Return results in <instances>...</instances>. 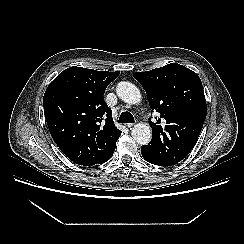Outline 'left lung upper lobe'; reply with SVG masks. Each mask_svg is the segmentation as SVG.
Here are the masks:
<instances>
[{
    "label": "left lung upper lobe",
    "instance_id": "5c2ea615",
    "mask_svg": "<svg viewBox=\"0 0 244 244\" xmlns=\"http://www.w3.org/2000/svg\"><path fill=\"white\" fill-rule=\"evenodd\" d=\"M134 78L146 90L149 105L165 120L160 125L149 121L152 139L146 149L152 163L171 166L183 160L192 150L203 127L207 105L199 76L177 63L146 72H135Z\"/></svg>",
    "mask_w": 244,
    "mask_h": 244
}]
</instances>
